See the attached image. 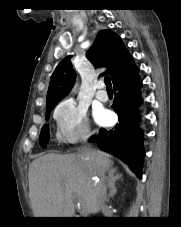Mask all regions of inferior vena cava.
Here are the masks:
<instances>
[{
    "instance_id": "obj_1",
    "label": "inferior vena cava",
    "mask_w": 181,
    "mask_h": 227,
    "mask_svg": "<svg viewBox=\"0 0 181 227\" xmlns=\"http://www.w3.org/2000/svg\"><path fill=\"white\" fill-rule=\"evenodd\" d=\"M91 134H88L86 136V139L90 136ZM102 180H103V184H102V189H101V193L99 195V198H98V202H99V206L101 209H104L106 207V202H107V192H106V184H105V181H104V176L102 175L101 176Z\"/></svg>"
}]
</instances>
